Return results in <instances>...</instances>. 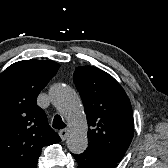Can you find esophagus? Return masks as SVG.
Returning a JSON list of instances; mask_svg holds the SVG:
<instances>
[{"label":"esophagus","mask_w":168,"mask_h":168,"mask_svg":"<svg viewBox=\"0 0 168 168\" xmlns=\"http://www.w3.org/2000/svg\"><path fill=\"white\" fill-rule=\"evenodd\" d=\"M68 133H69V129L68 128H64V129L59 131V135H60V137H61V139L63 141H65L67 139Z\"/></svg>","instance_id":"obj_1"}]
</instances>
